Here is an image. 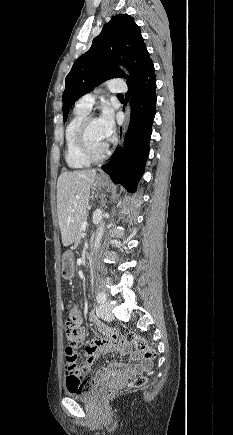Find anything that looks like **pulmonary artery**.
I'll use <instances>...</instances> for the list:
<instances>
[{"instance_id": "1", "label": "pulmonary artery", "mask_w": 233, "mask_h": 435, "mask_svg": "<svg viewBox=\"0 0 233 435\" xmlns=\"http://www.w3.org/2000/svg\"><path fill=\"white\" fill-rule=\"evenodd\" d=\"M108 85H109V90L113 93H117L121 95L126 92L125 81L124 78L122 77L111 79ZM94 101H95L94 94L87 93L77 100L76 107L89 113L92 108V105L94 104Z\"/></svg>"}]
</instances>
